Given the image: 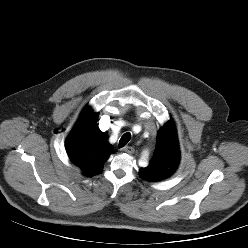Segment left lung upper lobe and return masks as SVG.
<instances>
[{"mask_svg":"<svg viewBox=\"0 0 248 248\" xmlns=\"http://www.w3.org/2000/svg\"><path fill=\"white\" fill-rule=\"evenodd\" d=\"M180 150L173 121H168L157 134L156 148L149 165L139 170L140 176L149 182L171 177L178 168Z\"/></svg>","mask_w":248,"mask_h":248,"instance_id":"left-lung-upper-lobe-1","label":"left lung upper lobe"}]
</instances>
